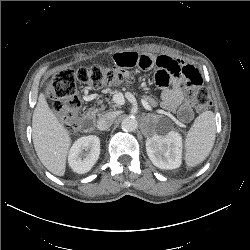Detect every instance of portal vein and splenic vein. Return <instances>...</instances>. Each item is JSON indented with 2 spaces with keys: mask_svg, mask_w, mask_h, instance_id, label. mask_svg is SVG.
Wrapping results in <instances>:
<instances>
[{
  "mask_svg": "<svg viewBox=\"0 0 250 250\" xmlns=\"http://www.w3.org/2000/svg\"><path fill=\"white\" fill-rule=\"evenodd\" d=\"M117 97H118V96H117ZM118 99L120 100V102H123V101H124L123 95L121 94V95L118 97Z\"/></svg>",
  "mask_w": 250,
  "mask_h": 250,
  "instance_id": "obj_1",
  "label": "portal vein and splenic vein"
}]
</instances>
